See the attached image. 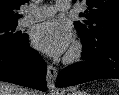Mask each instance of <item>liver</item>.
<instances>
[{
    "label": "liver",
    "instance_id": "liver-1",
    "mask_svg": "<svg viewBox=\"0 0 119 95\" xmlns=\"http://www.w3.org/2000/svg\"><path fill=\"white\" fill-rule=\"evenodd\" d=\"M23 88L14 84L0 82V95H22ZM28 95H41L38 91H28Z\"/></svg>",
    "mask_w": 119,
    "mask_h": 95
}]
</instances>
